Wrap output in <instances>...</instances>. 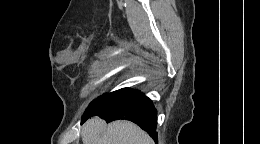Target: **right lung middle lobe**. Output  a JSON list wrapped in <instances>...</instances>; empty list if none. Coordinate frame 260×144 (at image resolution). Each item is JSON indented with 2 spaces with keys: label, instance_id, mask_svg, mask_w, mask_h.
Listing matches in <instances>:
<instances>
[{
  "label": "right lung middle lobe",
  "instance_id": "obj_1",
  "mask_svg": "<svg viewBox=\"0 0 260 144\" xmlns=\"http://www.w3.org/2000/svg\"><path fill=\"white\" fill-rule=\"evenodd\" d=\"M121 90L122 89L108 93V94H104V95L98 97L97 99H95L93 102L90 103V105L88 106V108L84 112L83 117L90 115L95 109H97L99 106H101L102 104L107 102L109 99H111L117 93H119Z\"/></svg>",
  "mask_w": 260,
  "mask_h": 144
}]
</instances>
